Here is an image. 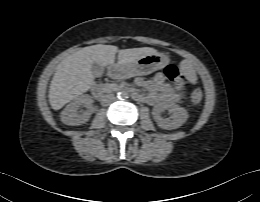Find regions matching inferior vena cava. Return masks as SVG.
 <instances>
[{"label": "inferior vena cava", "instance_id": "602c4592", "mask_svg": "<svg viewBox=\"0 0 260 202\" xmlns=\"http://www.w3.org/2000/svg\"><path fill=\"white\" fill-rule=\"evenodd\" d=\"M116 100V97L113 94H105L101 98V104L103 106H108Z\"/></svg>", "mask_w": 260, "mask_h": 202}]
</instances>
